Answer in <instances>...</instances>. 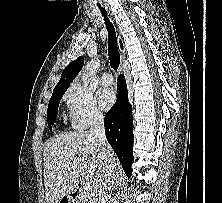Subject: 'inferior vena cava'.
<instances>
[{
  "instance_id": "obj_1",
  "label": "inferior vena cava",
  "mask_w": 222,
  "mask_h": 203,
  "mask_svg": "<svg viewBox=\"0 0 222 203\" xmlns=\"http://www.w3.org/2000/svg\"><path fill=\"white\" fill-rule=\"evenodd\" d=\"M89 137L97 140L99 151L105 162V170L93 190V203H108V191L111 190L114 182L116 164L105 136L104 117L100 112L93 114Z\"/></svg>"
}]
</instances>
